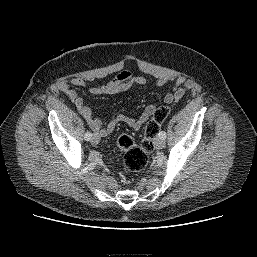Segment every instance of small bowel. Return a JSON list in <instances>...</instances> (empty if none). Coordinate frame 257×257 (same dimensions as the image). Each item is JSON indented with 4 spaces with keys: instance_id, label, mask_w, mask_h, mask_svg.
<instances>
[{
    "instance_id": "1",
    "label": "small bowel",
    "mask_w": 257,
    "mask_h": 257,
    "mask_svg": "<svg viewBox=\"0 0 257 257\" xmlns=\"http://www.w3.org/2000/svg\"><path fill=\"white\" fill-rule=\"evenodd\" d=\"M168 82L169 77L165 75H161L156 79L157 86H164ZM145 83L146 79L144 77L133 75L129 71H122L105 84L90 86L89 91L95 95L115 94L126 91L133 86L144 85ZM193 85L194 83L192 80L184 76L178 77L175 81L173 91L165 95V103L171 104L179 101L183 98L185 93L193 87ZM73 86L87 87V81L83 78L74 77L63 82L60 89L73 101L79 114L93 131L94 135L99 138L110 134L120 123H124L132 129L138 130L149 119V117L153 115L156 109L155 105L149 104L144 108L138 118L129 117L121 113H114L108 120H102L93 115L91 109L85 104L83 98L73 89Z\"/></svg>"
}]
</instances>
